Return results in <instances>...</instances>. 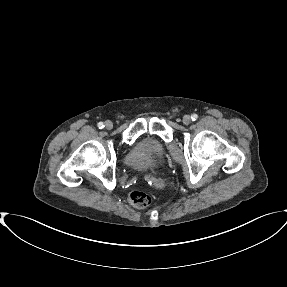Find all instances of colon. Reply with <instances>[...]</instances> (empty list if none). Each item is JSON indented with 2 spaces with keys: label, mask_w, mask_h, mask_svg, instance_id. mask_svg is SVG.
<instances>
[{
  "label": "colon",
  "mask_w": 287,
  "mask_h": 287,
  "mask_svg": "<svg viewBox=\"0 0 287 287\" xmlns=\"http://www.w3.org/2000/svg\"><path fill=\"white\" fill-rule=\"evenodd\" d=\"M127 200L134 208L137 209L146 208L151 201L149 195L140 190L129 192Z\"/></svg>",
  "instance_id": "colon-1"
}]
</instances>
